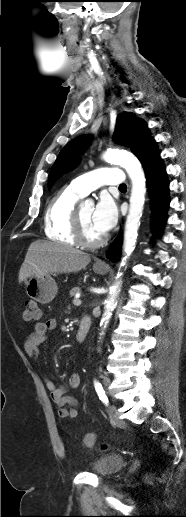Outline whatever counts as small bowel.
Instances as JSON below:
<instances>
[{"label":"small bowel","instance_id":"1","mask_svg":"<svg viewBox=\"0 0 186 517\" xmlns=\"http://www.w3.org/2000/svg\"><path fill=\"white\" fill-rule=\"evenodd\" d=\"M57 322L55 319H47L38 321L34 325V330L29 334L25 343L24 351L30 359H36L38 356L37 348L45 340L46 334L56 329ZM81 378L79 374L74 373L70 376L67 384L56 385L52 380L46 378L45 385L50 392L52 401L57 406L58 415L61 418H75L78 416V401L66 395L69 389L79 387ZM95 441V435L94 440ZM91 446V445H90ZM88 446V447H90Z\"/></svg>","mask_w":186,"mask_h":517}]
</instances>
